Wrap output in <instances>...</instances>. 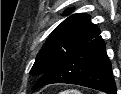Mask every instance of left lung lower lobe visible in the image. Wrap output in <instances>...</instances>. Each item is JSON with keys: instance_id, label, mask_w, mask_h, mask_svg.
I'll return each instance as SVG.
<instances>
[{"instance_id": "0a47b994", "label": "left lung lower lobe", "mask_w": 121, "mask_h": 94, "mask_svg": "<svg viewBox=\"0 0 121 94\" xmlns=\"http://www.w3.org/2000/svg\"><path fill=\"white\" fill-rule=\"evenodd\" d=\"M68 83L117 94L105 43L97 36L46 71L32 90L48 84Z\"/></svg>"}]
</instances>
